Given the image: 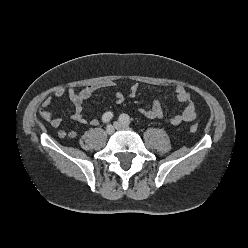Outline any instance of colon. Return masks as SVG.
<instances>
[{"label":"colon","mask_w":248,"mask_h":248,"mask_svg":"<svg viewBox=\"0 0 248 248\" xmlns=\"http://www.w3.org/2000/svg\"><path fill=\"white\" fill-rule=\"evenodd\" d=\"M197 130H198V126H197L196 124H191V125H190V131H191V132L194 133V132H196Z\"/></svg>","instance_id":"1"}]
</instances>
